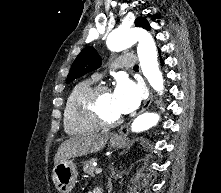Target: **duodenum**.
I'll use <instances>...</instances> for the list:
<instances>
[{"mask_svg": "<svg viewBox=\"0 0 221 193\" xmlns=\"http://www.w3.org/2000/svg\"><path fill=\"white\" fill-rule=\"evenodd\" d=\"M93 193H104L101 189H95Z\"/></svg>", "mask_w": 221, "mask_h": 193, "instance_id": "obj_1", "label": "duodenum"}]
</instances>
